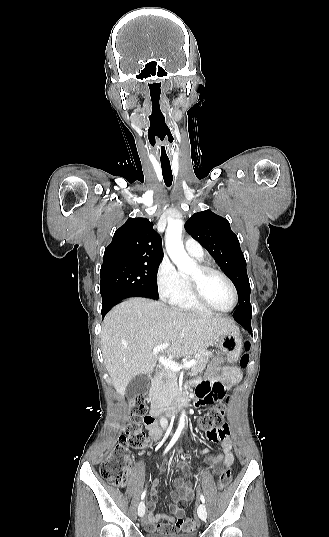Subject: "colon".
Listing matches in <instances>:
<instances>
[{
  "mask_svg": "<svg viewBox=\"0 0 329 537\" xmlns=\"http://www.w3.org/2000/svg\"><path fill=\"white\" fill-rule=\"evenodd\" d=\"M248 347V344H246V351L240 358V366L242 368H245L250 360V356L247 351ZM226 400L227 398L224 400H219V403L215 407L211 408L206 414L200 417L198 421L199 429L207 433H210L212 430H222V428L225 426L224 419L227 410ZM130 401L132 410L125 428V432L119 437L112 451L105 457L100 468V473L103 479L114 487H123L127 482V463L130 450L145 449L150 446L159 436L158 433L146 435L143 430V424L153 423L154 419L148 413L147 406L142 396L137 395L131 398ZM231 480V469L225 468L219 477V488L225 489L229 486ZM181 523L183 525V532L187 535L194 533L195 528L198 526L197 521L191 518L182 519Z\"/></svg>",
  "mask_w": 329,
  "mask_h": 537,
  "instance_id": "5ec220e1",
  "label": "colon"
}]
</instances>
